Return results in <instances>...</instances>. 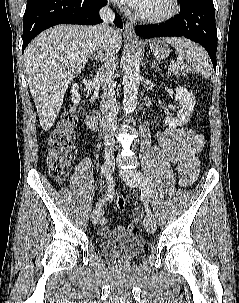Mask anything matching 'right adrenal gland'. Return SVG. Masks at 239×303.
Instances as JSON below:
<instances>
[{"mask_svg":"<svg viewBox=\"0 0 239 303\" xmlns=\"http://www.w3.org/2000/svg\"><path fill=\"white\" fill-rule=\"evenodd\" d=\"M99 58H100V52L98 51V52H97V56L94 54L93 57H92V60H93V59H94V60H97V59H98L97 62H99ZM94 66H95V64H94Z\"/></svg>","mask_w":239,"mask_h":303,"instance_id":"obj_1","label":"right adrenal gland"}]
</instances>
